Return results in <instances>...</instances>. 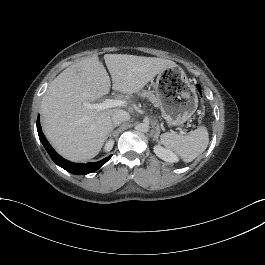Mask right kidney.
<instances>
[{"label": "right kidney", "instance_id": "right-kidney-1", "mask_svg": "<svg viewBox=\"0 0 265 265\" xmlns=\"http://www.w3.org/2000/svg\"><path fill=\"white\" fill-rule=\"evenodd\" d=\"M113 145H114V140H113V139H109V140L106 142L105 146H104V151H105V152H109V151H111V149L113 148Z\"/></svg>", "mask_w": 265, "mask_h": 265}]
</instances>
